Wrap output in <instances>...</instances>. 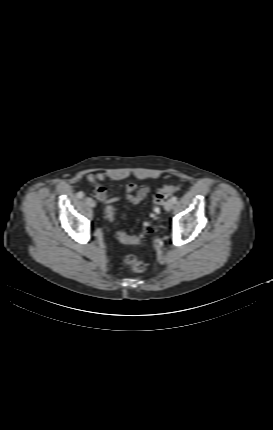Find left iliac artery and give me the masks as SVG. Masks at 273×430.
<instances>
[{"instance_id": "left-iliac-artery-1", "label": "left iliac artery", "mask_w": 273, "mask_h": 430, "mask_svg": "<svg viewBox=\"0 0 273 430\" xmlns=\"http://www.w3.org/2000/svg\"><path fill=\"white\" fill-rule=\"evenodd\" d=\"M171 200H172V202H173V203H176V202H177V197H176V196H173V197L171 198Z\"/></svg>"}]
</instances>
